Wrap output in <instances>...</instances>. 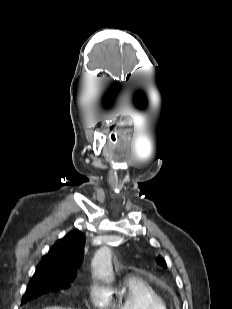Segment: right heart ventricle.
I'll return each mask as SVG.
<instances>
[{
    "label": "right heart ventricle",
    "instance_id": "e07e8e85",
    "mask_svg": "<svg viewBox=\"0 0 232 309\" xmlns=\"http://www.w3.org/2000/svg\"><path fill=\"white\" fill-rule=\"evenodd\" d=\"M104 309H167V304L149 282L128 276L116 296L108 297Z\"/></svg>",
    "mask_w": 232,
    "mask_h": 309
}]
</instances>
